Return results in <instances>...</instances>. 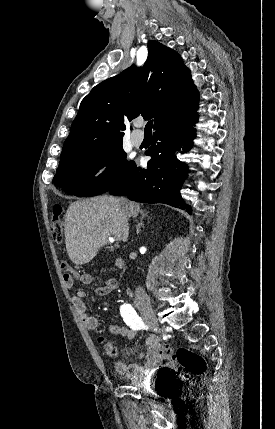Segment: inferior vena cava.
<instances>
[{"label": "inferior vena cava", "instance_id": "obj_1", "mask_svg": "<svg viewBox=\"0 0 275 429\" xmlns=\"http://www.w3.org/2000/svg\"><path fill=\"white\" fill-rule=\"evenodd\" d=\"M135 301L138 303H150V299L146 294L145 290L141 287H138L135 291Z\"/></svg>", "mask_w": 275, "mask_h": 429}]
</instances>
